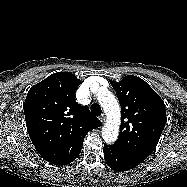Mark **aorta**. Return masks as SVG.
I'll return each instance as SVG.
<instances>
[{"label":"aorta","instance_id":"obj_1","mask_svg":"<svg viewBox=\"0 0 187 187\" xmlns=\"http://www.w3.org/2000/svg\"><path fill=\"white\" fill-rule=\"evenodd\" d=\"M98 101L107 116V122L102 129V138L110 144L117 140L119 134L120 107L115 96L105 88L99 91Z\"/></svg>","mask_w":187,"mask_h":187}]
</instances>
